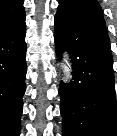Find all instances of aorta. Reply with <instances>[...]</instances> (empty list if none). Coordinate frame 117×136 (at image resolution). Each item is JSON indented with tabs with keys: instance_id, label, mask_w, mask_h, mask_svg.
<instances>
[{
	"instance_id": "762f6f07",
	"label": "aorta",
	"mask_w": 117,
	"mask_h": 136,
	"mask_svg": "<svg viewBox=\"0 0 117 136\" xmlns=\"http://www.w3.org/2000/svg\"><path fill=\"white\" fill-rule=\"evenodd\" d=\"M62 71H63L65 79L68 80L71 75V66L69 61L65 57L63 60Z\"/></svg>"
}]
</instances>
